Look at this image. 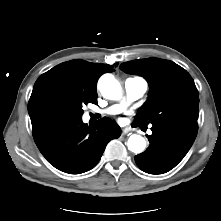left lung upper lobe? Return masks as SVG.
Returning <instances> with one entry per match:
<instances>
[{
	"label": "left lung upper lobe",
	"instance_id": "left-lung-upper-lobe-1",
	"mask_svg": "<svg viewBox=\"0 0 221 221\" xmlns=\"http://www.w3.org/2000/svg\"><path fill=\"white\" fill-rule=\"evenodd\" d=\"M120 68L143 76L150 84L148 99L134 119L136 124L174 123L197 128L198 90L185 69L159 58L122 63Z\"/></svg>",
	"mask_w": 221,
	"mask_h": 221
}]
</instances>
